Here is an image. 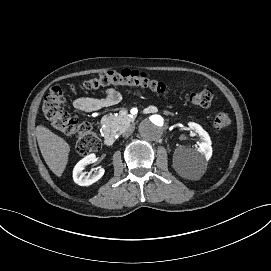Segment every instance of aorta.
<instances>
[{
    "label": "aorta",
    "instance_id": "aorta-1",
    "mask_svg": "<svg viewBox=\"0 0 271 271\" xmlns=\"http://www.w3.org/2000/svg\"><path fill=\"white\" fill-rule=\"evenodd\" d=\"M166 121L160 115H152L149 118L144 119L139 124V134L140 136L147 141H154L159 139L165 128H166Z\"/></svg>",
    "mask_w": 271,
    "mask_h": 271
}]
</instances>
